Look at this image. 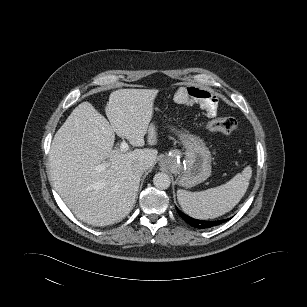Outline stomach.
Masks as SVG:
<instances>
[{
  "mask_svg": "<svg viewBox=\"0 0 307 307\" xmlns=\"http://www.w3.org/2000/svg\"><path fill=\"white\" fill-rule=\"evenodd\" d=\"M185 150L186 164L179 157V150H172L160 160V165L177 175V182L183 187H192L204 182L211 175V153L202 139L189 133L179 134Z\"/></svg>",
  "mask_w": 307,
  "mask_h": 307,
  "instance_id": "0dacf381",
  "label": "stomach"
}]
</instances>
